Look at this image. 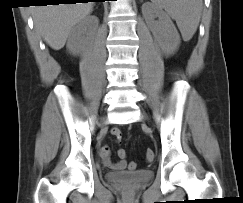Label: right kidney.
Here are the masks:
<instances>
[{
    "mask_svg": "<svg viewBox=\"0 0 243 203\" xmlns=\"http://www.w3.org/2000/svg\"><path fill=\"white\" fill-rule=\"evenodd\" d=\"M99 20L96 16H88L75 25L68 37L67 49L72 54H80L86 49L87 38H93L98 28Z\"/></svg>",
    "mask_w": 243,
    "mask_h": 203,
    "instance_id": "1",
    "label": "right kidney"
}]
</instances>
